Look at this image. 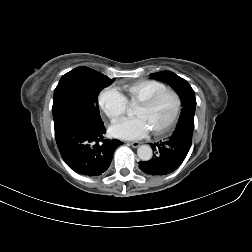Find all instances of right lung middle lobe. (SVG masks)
<instances>
[{
  "label": "right lung middle lobe",
  "mask_w": 252,
  "mask_h": 252,
  "mask_svg": "<svg viewBox=\"0 0 252 252\" xmlns=\"http://www.w3.org/2000/svg\"><path fill=\"white\" fill-rule=\"evenodd\" d=\"M114 79L88 67L66 73L54 90L53 119L74 115L94 123H103L99 113L98 95Z\"/></svg>",
  "instance_id": "right-lung-middle-lobe-1"
}]
</instances>
